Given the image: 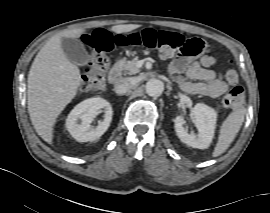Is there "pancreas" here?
I'll return each instance as SVG.
<instances>
[{"label": "pancreas", "mask_w": 270, "mask_h": 213, "mask_svg": "<svg viewBox=\"0 0 270 213\" xmlns=\"http://www.w3.org/2000/svg\"><path fill=\"white\" fill-rule=\"evenodd\" d=\"M139 58L135 57L132 60L122 62L118 68L124 73L128 75H134L140 72V69L137 67V62Z\"/></svg>", "instance_id": "cf45deb5"}]
</instances>
